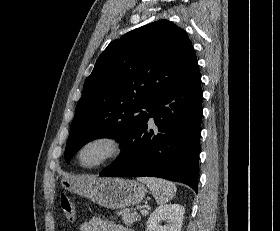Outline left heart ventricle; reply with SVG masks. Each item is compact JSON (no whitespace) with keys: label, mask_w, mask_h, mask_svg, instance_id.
I'll return each instance as SVG.
<instances>
[{"label":"left heart ventricle","mask_w":280,"mask_h":231,"mask_svg":"<svg viewBox=\"0 0 280 231\" xmlns=\"http://www.w3.org/2000/svg\"><path fill=\"white\" fill-rule=\"evenodd\" d=\"M115 151V145L108 139H97L88 143L81 151L79 163L90 169L104 163Z\"/></svg>","instance_id":"obj_1"}]
</instances>
